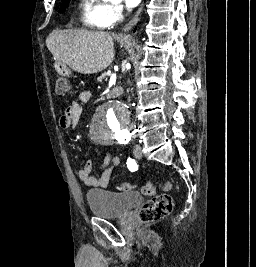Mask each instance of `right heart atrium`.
I'll use <instances>...</instances> for the list:
<instances>
[{
  "mask_svg": "<svg viewBox=\"0 0 256 267\" xmlns=\"http://www.w3.org/2000/svg\"><path fill=\"white\" fill-rule=\"evenodd\" d=\"M112 10H111V19L113 21H120L122 19L123 16V12H122V8L119 5H112L111 6Z\"/></svg>",
  "mask_w": 256,
  "mask_h": 267,
  "instance_id": "right-heart-atrium-1",
  "label": "right heart atrium"
}]
</instances>
